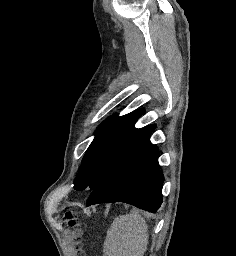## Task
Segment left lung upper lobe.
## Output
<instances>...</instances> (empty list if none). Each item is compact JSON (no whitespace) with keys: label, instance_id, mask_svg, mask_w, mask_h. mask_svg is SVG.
Here are the masks:
<instances>
[{"label":"left lung upper lobe","instance_id":"1","mask_svg":"<svg viewBox=\"0 0 236 256\" xmlns=\"http://www.w3.org/2000/svg\"><path fill=\"white\" fill-rule=\"evenodd\" d=\"M143 113L137 110L121 117L105 120L95 131L82 166L74 181L76 190H93L110 173L119 157L140 129L134 123Z\"/></svg>","mask_w":236,"mask_h":256}]
</instances>
